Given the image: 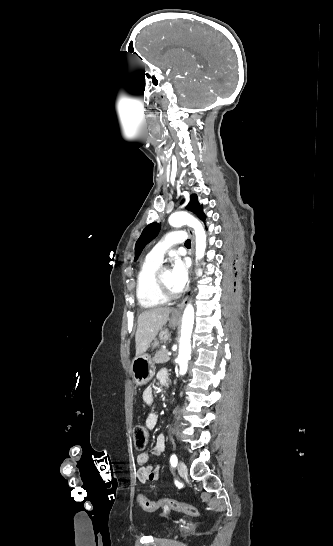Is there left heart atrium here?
Instances as JSON below:
<instances>
[{"instance_id": "39dd6f15", "label": "left heart atrium", "mask_w": 333, "mask_h": 546, "mask_svg": "<svg viewBox=\"0 0 333 546\" xmlns=\"http://www.w3.org/2000/svg\"><path fill=\"white\" fill-rule=\"evenodd\" d=\"M171 273L172 286L176 292L183 290L188 279V270L186 263L179 257L173 260Z\"/></svg>"}]
</instances>
